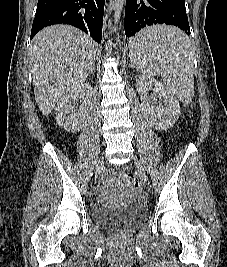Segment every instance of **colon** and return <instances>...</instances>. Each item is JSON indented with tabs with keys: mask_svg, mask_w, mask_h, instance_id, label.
<instances>
[{
	"mask_svg": "<svg viewBox=\"0 0 227 267\" xmlns=\"http://www.w3.org/2000/svg\"><path fill=\"white\" fill-rule=\"evenodd\" d=\"M106 178L111 181H118L123 187L130 191H136L138 189V181L132 174H125L121 178H116L113 171H109L106 174Z\"/></svg>",
	"mask_w": 227,
	"mask_h": 267,
	"instance_id": "1",
	"label": "colon"
}]
</instances>
